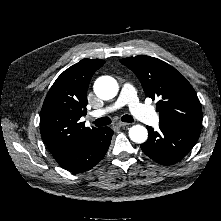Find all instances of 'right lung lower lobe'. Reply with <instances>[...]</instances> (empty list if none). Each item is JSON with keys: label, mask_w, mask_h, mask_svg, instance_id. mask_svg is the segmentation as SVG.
<instances>
[{"label": "right lung lower lobe", "mask_w": 221, "mask_h": 221, "mask_svg": "<svg viewBox=\"0 0 221 221\" xmlns=\"http://www.w3.org/2000/svg\"><path fill=\"white\" fill-rule=\"evenodd\" d=\"M113 131L100 128L89 140L57 162L66 170L81 173L94 167L106 154Z\"/></svg>", "instance_id": "obj_1"}]
</instances>
